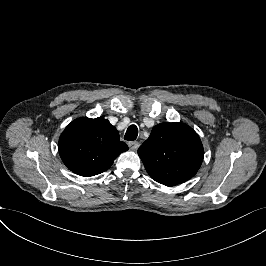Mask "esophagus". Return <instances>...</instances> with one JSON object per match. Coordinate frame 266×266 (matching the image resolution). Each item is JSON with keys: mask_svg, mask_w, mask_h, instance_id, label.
Masks as SVG:
<instances>
[{"mask_svg": "<svg viewBox=\"0 0 266 266\" xmlns=\"http://www.w3.org/2000/svg\"><path fill=\"white\" fill-rule=\"evenodd\" d=\"M127 145L129 146V148H130L131 150H136V149H138V147H139V142H137V141H129V142L127 143Z\"/></svg>", "mask_w": 266, "mask_h": 266, "instance_id": "1", "label": "esophagus"}]
</instances>
